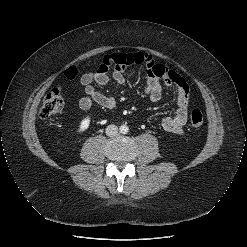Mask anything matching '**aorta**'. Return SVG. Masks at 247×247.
I'll return each instance as SVG.
<instances>
[{"label": "aorta", "instance_id": "aorta-1", "mask_svg": "<svg viewBox=\"0 0 247 247\" xmlns=\"http://www.w3.org/2000/svg\"><path fill=\"white\" fill-rule=\"evenodd\" d=\"M119 129H120V133L122 134H127L129 131V128L127 125H121Z\"/></svg>", "mask_w": 247, "mask_h": 247}]
</instances>
